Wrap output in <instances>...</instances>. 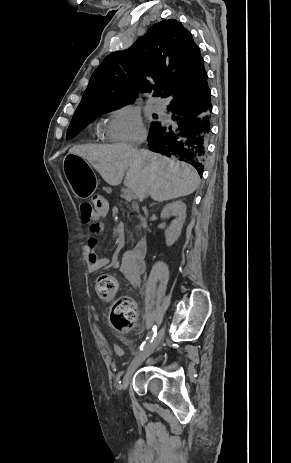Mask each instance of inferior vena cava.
<instances>
[{"instance_id":"602c4592","label":"inferior vena cava","mask_w":291,"mask_h":463,"mask_svg":"<svg viewBox=\"0 0 291 463\" xmlns=\"http://www.w3.org/2000/svg\"><path fill=\"white\" fill-rule=\"evenodd\" d=\"M145 138L141 139L138 144H141L142 142H144Z\"/></svg>"}]
</instances>
